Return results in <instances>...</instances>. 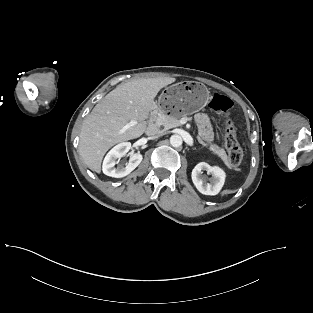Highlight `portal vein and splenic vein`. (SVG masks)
<instances>
[{
    "label": "portal vein and splenic vein",
    "mask_w": 313,
    "mask_h": 313,
    "mask_svg": "<svg viewBox=\"0 0 313 313\" xmlns=\"http://www.w3.org/2000/svg\"><path fill=\"white\" fill-rule=\"evenodd\" d=\"M136 124H137L136 121H131L130 123H128V124L120 131V133H123L126 129H128L129 127L134 126V125H136Z\"/></svg>",
    "instance_id": "obj_1"
}]
</instances>
